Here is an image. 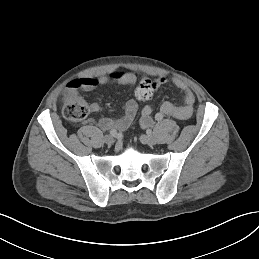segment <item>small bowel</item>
Instances as JSON below:
<instances>
[{
	"instance_id": "1",
	"label": "small bowel",
	"mask_w": 259,
	"mask_h": 259,
	"mask_svg": "<svg viewBox=\"0 0 259 259\" xmlns=\"http://www.w3.org/2000/svg\"><path fill=\"white\" fill-rule=\"evenodd\" d=\"M138 75L133 72H112L107 76L95 78H85L82 80L81 88L90 91L99 86L107 85V84H123L134 86L138 81ZM143 80H149L144 78ZM142 80V81H143ZM166 77H159L152 81L155 87L158 89L161 85L167 83ZM174 85L179 88L184 96V103L183 105H176L172 102L166 101L164 102L160 110L171 117L180 120H186L193 115L194 112V103H195V95L194 93L188 88V86L179 79H173L172 81ZM124 112L121 117L117 119L111 118H102L98 125L102 130H115L118 132L125 131L134 120L138 106L134 100H129L124 105ZM102 107L98 103H93L90 105V111L92 113H99L101 112ZM152 108L150 106H145L141 112L140 124L142 127L146 128L150 126L152 122Z\"/></svg>"
}]
</instances>
